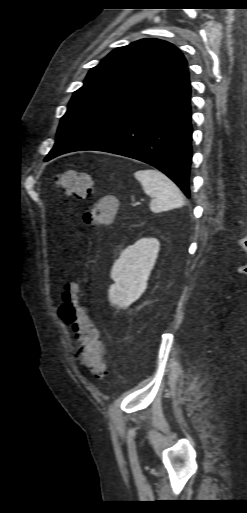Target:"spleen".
<instances>
[{
  "label": "spleen",
  "mask_w": 247,
  "mask_h": 513,
  "mask_svg": "<svg viewBox=\"0 0 247 513\" xmlns=\"http://www.w3.org/2000/svg\"><path fill=\"white\" fill-rule=\"evenodd\" d=\"M134 177L152 200L150 210L154 213L182 207L185 204L179 188L165 174L154 169L137 170Z\"/></svg>",
  "instance_id": "obj_1"
}]
</instances>
